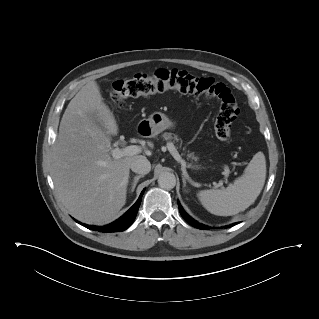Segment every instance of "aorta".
<instances>
[{"mask_svg":"<svg viewBox=\"0 0 319 319\" xmlns=\"http://www.w3.org/2000/svg\"><path fill=\"white\" fill-rule=\"evenodd\" d=\"M158 184L163 189H173L176 185V177L173 173L163 172L159 175Z\"/></svg>","mask_w":319,"mask_h":319,"instance_id":"obj_1","label":"aorta"}]
</instances>
